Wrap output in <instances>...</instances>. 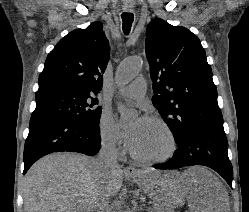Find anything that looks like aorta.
<instances>
[{"mask_svg":"<svg viewBox=\"0 0 249 212\" xmlns=\"http://www.w3.org/2000/svg\"><path fill=\"white\" fill-rule=\"evenodd\" d=\"M142 59L140 57H131L123 60L116 71V83L119 86H123L132 81L140 72L142 67ZM118 109L120 111L122 119H129L136 116V112L129 108H126L122 104H119Z\"/></svg>","mask_w":249,"mask_h":212,"instance_id":"obj_1","label":"aorta"}]
</instances>
